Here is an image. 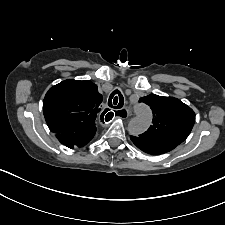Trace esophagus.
<instances>
[{"mask_svg": "<svg viewBox=\"0 0 225 225\" xmlns=\"http://www.w3.org/2000/svg\"><path fill=\"white\" fill-rule=\"evenodd\" d=\"M114 115L117 118L126 119V118L129 117L130 111H129V109L127 107H124V108L119 109L116 112H114Z\"/></svg>", "mask_w": 225, "mask_h": 225, "instance_id": "obj_1", "label": "esophagus"}]
</instances>
